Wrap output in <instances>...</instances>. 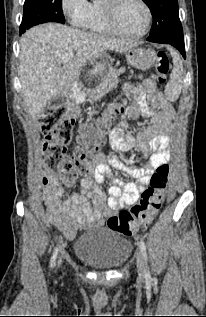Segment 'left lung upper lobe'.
<instances>
[{"label": "left lung upper lobe", "mask_w": 206, "mask_h": 317, "mask_svg": "<svg viewBox=\"0 0 206 317\" xmlns=\"http://www.w3.org/2000/svg\"><path fill=\"white\" fill-rule=\"evenodd\" d=\"M151 10L153 25L147 40L156 43L184 41L177 0H143Z\"/></svg>", "instance_id": "obj_1"}]
</instances>
